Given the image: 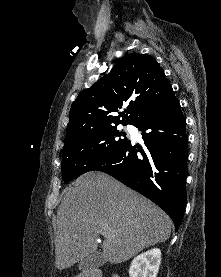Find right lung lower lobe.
I'll return each instance as SVG.
<instances>
[{"label":"right lung lower lobe","mask_w":221,"mask_h":277,"mask_svg":"<svg viewBox=\"0 0 221 277\" xmlns=\"http://www.w3.org/2000/svg\"><path fill=\"white\" fill-rule=\"evenodd\" d=\"M132 125L141 131L145 151L129 141L92 170L113 176L156 203L172 218L177 231L186 204L188 136L173 90L144 110Z\"/></svg>","instance_id":"98d812e1"}]
</instances>
